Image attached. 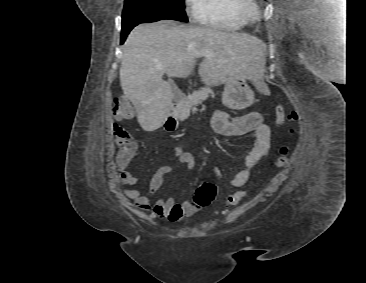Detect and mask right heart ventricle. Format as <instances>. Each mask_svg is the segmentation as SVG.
<instances>
[{
	"instance_id": "1",
	"label": "right heart ventricle",
	"mask_w": 366,
	"mask_h": 283,
	"mask_svg": "<svg viewBox=\"0 0 366 283\" xmlns=\"http://www.w3.org/2000/svg\"><path fill=\"white\" fill-rule=\"evenodd\" d=\"M244 0H205L200 22L227 31L244 28L249 22L241 12Z\"/></svg>"
}]
</instances>
